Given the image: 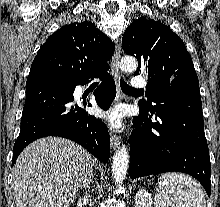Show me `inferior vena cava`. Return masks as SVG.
Returning <instances> with one entry per match:
<instances>
[{
    "instance_id": "602c4592",
    "label": "inferior vena cava",
    "mask_w": 220,
    "mask_h": 207,
    "mask_svg": "<svg viewBox=\"0 0 220 207\" xmlns=\"http://www.w3.org/2000/svg\"><path fill=\"white\" fill-rule=\"evenodd\" d=\"M92 174L88 173L87 175H85L82 180H81V185L84 187V188H89L88 185H90V183L92 182ZM89 197L90 195H88L87 193L85 194L84 198L82 199L83 200V203L86 204L88 203L89 201Z\"/></svg>"
}]
</instances>
